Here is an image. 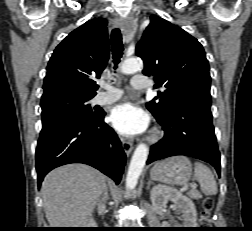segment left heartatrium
I'll return each mask as SVG.
<instances>
[{"mask_svg":"<svg viewBox=\"0 0 252 231\" xmlns=\"http://www.w3.org/2000/svg\"><path fill=\"white\" fill-rule=\"evenodd\" d=\"M109 120L117 132L127 136L141 134L149 125L148 115L131 103L116 106Z\"/></svg>","mask_w":252,"mask_h":231,"instance_id":"left-heart-atrium-1","label":"left heart atrium"}]
</instances>
